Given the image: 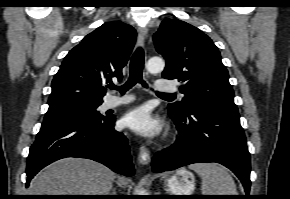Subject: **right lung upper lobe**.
<instances>
[{
  "instance_id": "cb5924a9",
  "label": "right lung upper lobe",
  "mask_w": 290,
  "mask_h": 199,
  "mask_svg": "<svg viewBox=\"0 0 290 199\" xmlns=\"http://www.w3.org/2000/svg\"><path fill=\"white\" fill-rule=\"evenodd\" d=\"M136 40V31L122 22L104 23L64 58L52 81L46 115L100 105L105 84L122 79Z\"/></svg>"
}]
</instances>
